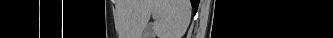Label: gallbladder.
Segmentation results:
<instances>
[{"mask_svg":"<svg viewBox=\"0 0 333 38\" xmlns=\"http://www.w3.org/2000/svg\"><path fill=\"white\" fill-rule=\"evenodd\" d=\"M142 36H143V38H148V37L151 36V28H150V26H147L144 29Z\"/></svg>","mask_w":333,"mask_h":38,"instance_id":"obj_1","label":"gallbladder"}]
</instances>
